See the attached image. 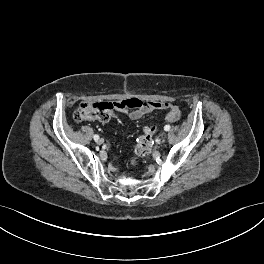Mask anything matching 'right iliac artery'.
Returning <instances> with one entry per match:
<instances>
[{
  "mask_svg": "<svg viewBox=\"0 0 264 264\" xmlns=\"http://www.w3.org/2000/svg\"><path fill=\"white\" fill-rule=\"evenodd\" d=\"M99 139V136L97 134L94 135V140L97 141Z\"/></svg>",
  "mask_w": 264,
  "mask_h": 264,
  "instance_id": "82829eb1",
  "label": "right iliac artery"
}]
</instances>
